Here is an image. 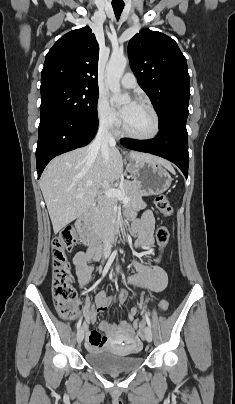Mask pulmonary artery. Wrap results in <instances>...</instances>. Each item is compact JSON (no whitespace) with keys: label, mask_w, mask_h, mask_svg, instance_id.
Listing matches in <instances>:
<instances>
[{"label":"pulmonary artery","mask_w":235,"mask_h":404,"mask_svg":"<svg viewBox=\"0 0 235 404\" xmlns=\"http://www.w3.org/2000/svg\"><path fill=\"white\" fill-rule=\"evenodd\" d=\"M120 84L125 89H132L137 85L136 77L133 73H125L120 79Z\"/></svg>","instance_id":"obj_1"}]
</instances>
